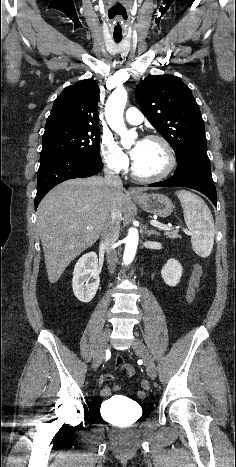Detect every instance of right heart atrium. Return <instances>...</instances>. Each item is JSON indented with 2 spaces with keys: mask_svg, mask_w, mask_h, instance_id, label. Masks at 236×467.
I'll list each match as a JSON object with an SVG mask.
<instances>
[{
  "mask_svg": "<svg viewBox=\"0 0 236 467\" xmlns=\"http://www.w3.org/2000/svg\"><path fill=\"white\" fill-rule=\"evenodd\" d=\"M100 153L104 164L113 172H123L128 167V157L120 149L114 138L104 134L100 141Z\"/></svg>",
  "mask_w": 236,
  "mask_h": 467,
  "instance_id": "obj_1",
  "label": "right heart atrium"
}]
</instances>
